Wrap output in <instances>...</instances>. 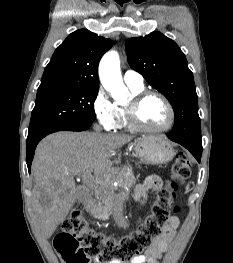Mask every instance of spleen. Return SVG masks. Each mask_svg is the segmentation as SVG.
I'll list each match as a JSON object with an SVG mask.
<instances>
[{"label":"spleen","instance_id":"obj_1","mask_svg":"<svg viewBox=\"0 0 233 263\" xmlns=\"http://www.w3.org/2000/svg\"><path fill=\"white\" fill-rule=\"evenodd\" d=\"M186 190H187V191L189 190V185L186 187Z\"/></svg>","mask_w":233,"mask_h":263}]
</instances>
